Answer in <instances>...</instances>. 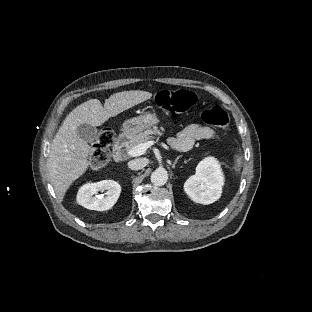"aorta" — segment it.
Listing matches in <instances>:
<instances>
[{"instance_id": "obj_1", "label": "aorta", "mask_w": 312, "mask_h": 312, "mask_svg": "<svg viewBox=\"0 0 312 312\" xmlns=\"http://www.w3.org/2000/svg\"><path fill=\"white\" fill-rule=\"evenodd\" d=\"M168 180V174L167 171L159 168L155 170L151 176H150V181L154 186H163L166 184Z\"/></svg>"}]
</instances>
